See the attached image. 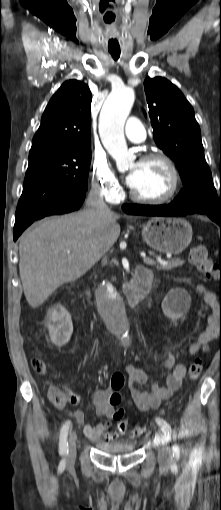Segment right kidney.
Wrapping results in <instances>:
<instances>
[{"label":"right kidney","mask_w":221,"mask_h":510,"mask_svg":"<svg viewBox=\"0 0 221 510\" xmlns=\"http://www.w3.org/2000/svg\"><path fill=\"white\" fill-rule=\"evenodd\" d=\"M46 325L51 341L56 347L61 348L69 342L73 333V324L65 307L56 305L51 310Z\"/></svg>","instance_id":"obj_1"}]
</instances>
